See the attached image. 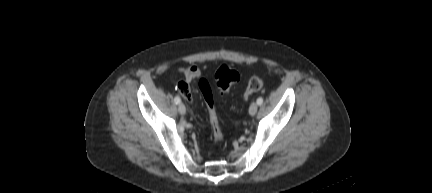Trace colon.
I'll return each instance as SVG.
<instances>
[{
	"instance_id": "1",
	"label": "colon",
	"mask_w": 432,
	"mask_h": 193,
	"mask_svg": "<svg viewBox=\"0 0 432 193\" xmlns=\"http://www.w3.org/2000/svg\"><path fill=\"white\" fill-rule=\"evenodd\" d=\"M239 79H240L239 72L236 69L228 66L220 67L215 73V77H214L215 85L221 92L228 91L232 85L236 84L239 81ZM199 87L201 89V92L204 96V99L208 107L210 125H211V130H212L214 140L217 143H220L224 138V134L221 127L219 116L215 109L214 98H213L211 87L207 82V80L205 79H202L200 81ZM262 87H263V80L256 76L252 77L247 84L244 97L247 98L251 94L259 91Z\"/></svg>"
}]
</instances>
